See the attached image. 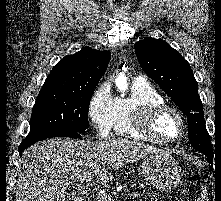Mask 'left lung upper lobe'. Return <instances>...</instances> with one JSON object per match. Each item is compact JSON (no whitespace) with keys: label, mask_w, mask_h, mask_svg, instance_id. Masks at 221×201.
I'll return each instance as SVG.
<instances>
[{"label":"left lung upper lobe","mask_w":221,"mask_h":201,"mask_svg":"<svg viewBox=\"0 0 221 201\" xmlns=\"http://www.w3.org/2000/svg\"><path fill=\"white\" fill-rule=\"evenodd\" d=\"M143 71L153 79L187 115L191 146L213 155L204 123L203 105L189 63L167 42L146 38L134 45Z\"/></svg>","instance_id":"left-lung-upper-lobe-1"}]
</instances>
